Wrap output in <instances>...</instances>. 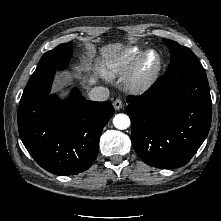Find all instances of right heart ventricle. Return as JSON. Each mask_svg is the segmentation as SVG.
Listing matches in <instances>:
<instances>
[{
	"instance_id": "1",
	"label": "right heart ventricle",
	"mask_w": 221,
	"mask_h": 221,
	"mask_svg": "<svg viewBox=\"0 0 221 221\" xmlns=\"http://www.w3.org/2000/svg\"><path fill=\"white\" fill-rule=\"evenodd\" d=\"M140 54L138 47L128 49L122 54L110 57L103 61L101 73L108 79L125 73Z\"/></svg>"
}]
</instances>
